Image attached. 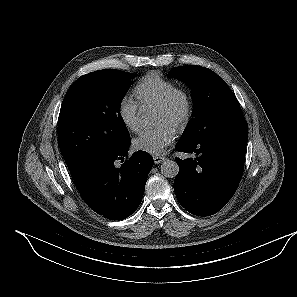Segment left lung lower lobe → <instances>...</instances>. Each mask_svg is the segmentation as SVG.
<instances>
[{
  "instance_id": "1",
  "label": "left lung lower lobe",
  "mask_w": 297,
  "mask_h": 297,
  "mask_svg": "<svg viewBox=\"0 0 297 297\" xmlns=\"http://www.w3.org/2000/svg\"><path fill=\"white\" fill-rule=\"evenodd\" d=\"M247 140L248 125L239 121L196 141L177 143V151L197 155L176 158L179 173L174 191L188 212L210 216L232 198L242 178Z\"/></svg>"
}]
</instances>
